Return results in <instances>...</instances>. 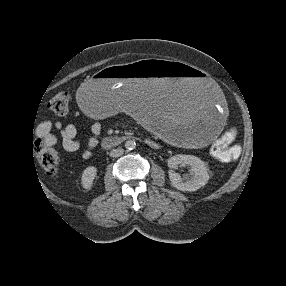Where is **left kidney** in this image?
<instances>
[{"label":"left kidney","mask_w":286,"mask_h":286,"mask_svg":"<svg viewBox=\"0 0 286 286\" xmlns=\"http://www.w3.org/2000/svg\"><path fill=\"white\" fill-rule=\"evenodd\" d=\"M169 179L173 187L181 191H196L209 180V174L204 162L193 155H175L168 159ZM178 165H187L193 175L191 179L183 181L181 176L174 172Z\"/></svg>","instance_id":"5707ae66"}]
</instances>
